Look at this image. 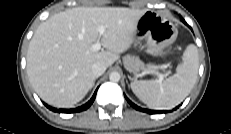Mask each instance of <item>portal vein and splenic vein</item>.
Here are the masks:
<instances>
[{"instance_id": "1", "label": "portal vein and splenic vein", "mask_w": 231, "mask_h": 134, "mask_svg": "<svg viewBox=\"0 0 231 134\" xmlns=\"http://www.w3.org/2000/svg\"><path fill=\"white\" fill-rule=\"evenodd\" d=\"M98 31H99L100 35H103L105 32V27L103 25L99 26ZM92 49L94 51H99L101 49V43L99 41L96 42L95 44L92 45ZM156 75L159 77V82H161L164 79V77L168 76V73L167 74H161V73L157 72Z\"/></svg>"}]
</instances>
